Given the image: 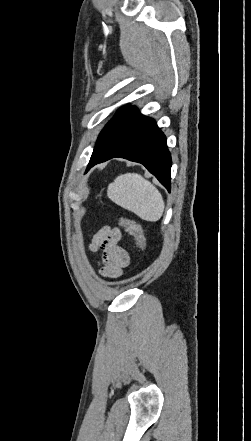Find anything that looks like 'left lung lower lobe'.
<instances>
[{"label": "left lung lower lobe", "instance_id": "obj_1", "mask_svg": "<svg viewBox=\"0 0 251 441\" xmlns=\"http://www.w3.org/2000/svg\"><path fill=\"white\" fill-rule=\"evenodd\" d=\"M121 157L143 164L170 191L171 155L156 122L132 107L114 116L100 133L87 170L97 163Z\"/></svg>", "mask_w": 251, "mask_h": 441}]
</instances>
